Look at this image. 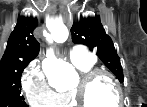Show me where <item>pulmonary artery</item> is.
<instances>
[{
	"instance_id": "1",
	"label": "pulmonary artery",
	"mask_w": 147,
	"mask_h": 107,
	"mask_svg": "<svg viewBox=\"0 0 147 107\" xmlns=\"http://www.w3.org/2000/svg\"><path fill=\"white\" fill-rule=\"evenodd\" d=\"M69 58L74 65L88 64L95 62V58L92 56V54L88 53L81 46L72 47L69 52Z\"/></svg>"
}]
</instances>
